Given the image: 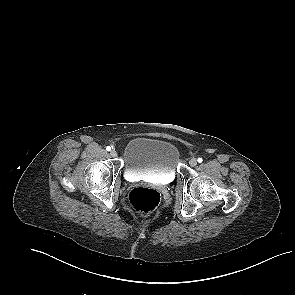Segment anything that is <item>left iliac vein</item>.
Masks as SVG:
<instances>
[{"label": "left iliac vein", "mask_w": 295, "mask_h": 295, "mask_svg": "<svg viewBox=\"0 0 295 295\" xmlns=\"http://www.w3.org/2000/svg\"><path fill=\"white\" fill-rule=\"evenodd\" d=\"M189 165H190L191 167L196 166V165H197V159H196V158H191V159L189 160Z\"/></svg>", "instance_id": "obj_1"}]
</instances>
